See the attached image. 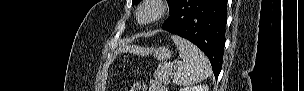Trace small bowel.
<instances>
[{
  "mask_svg": "<svg viewBox=\"0 0 304 91\" xmlns=\"http://www.w3.org/2000/svg\"><path fill=\"white\" fill-rule=\"evenodd\" d=\"M152 90L154 91H165L166 89L158 81L152 82Z\"/></svg>",
  "mask_w": 304,
  "mask_h": 91,
  "instance_id": "small-bowel-1",
  "label": "small bowel"
}]
</instances>
